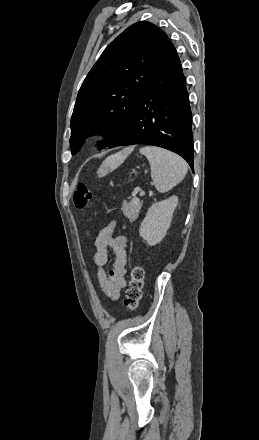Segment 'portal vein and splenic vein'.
Returning <instances> with one entry per match:
<instances>
[{
    "label": "portal vein and splenic vein",
    "instance_id": "1",
    "mask_svg": "<svg viewBox=\"0 0 259 440\" xmlns=\"http://www.w3.org/2000/svg\"><path fill=\"white\" fill-rule=\"evenodd\" d=\"M136 191L139 192L140 196H144L145 195V192L143 190H141L140 188H137ZM138 201H139L138 198H133V202L134 203H137Z\"/></svg>",
    "mask_w": 259,
    "mask_h": 440
}]
</instances>
